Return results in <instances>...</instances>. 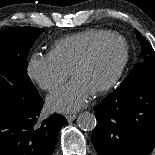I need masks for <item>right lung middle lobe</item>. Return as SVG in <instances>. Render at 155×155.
<instances>
[{"label": "right lung middle lobe", "mask_w": 155, "mask_h": 155, "mask_svg": "<svg viewBox=\"0 0 155 155\" xmlns=\"http://www.w3.org/2000/svg\"><path fill=\"white\" fill-rule=\"evenodd\" d=\"M44 31L15 27L0 31V106H31L39 96L27 74V56Z\"/></svg>", "instance_id": "obj_1"}]
</instances>
